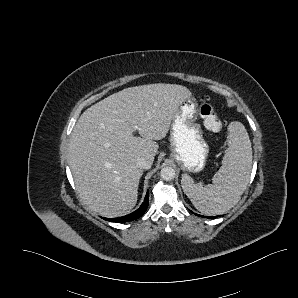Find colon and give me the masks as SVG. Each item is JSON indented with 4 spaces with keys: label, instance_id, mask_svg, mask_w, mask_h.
<instances>
[{
    "label": "colon",
    "instance_id": "5ec220e1",
    "mask_svg": "<svg viewBox=\"0 0 298 298\" xmlns=\"http://www.w3.org/2000/svg\"><path fill=\"white\" fill-rule=\"evenodd\" d=\"M200 101V116L204 126L213 132L221 130L224 126V121L217 114L210 98L208 96H202Z\"/></svg>",
    "mask_w": 298,
    "mask_h": 298
}]
</instances>
